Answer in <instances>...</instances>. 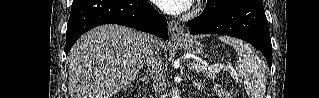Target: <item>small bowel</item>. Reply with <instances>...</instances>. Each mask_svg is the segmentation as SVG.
<instances>
[{"label":"small bowel","instance_id":"obj_1","mask_svg":"<svg viewBox=\"0 0 319 98\" xmlns=\"http://www.w3.org/2000/svg\"><path fill=\"white\" fill-rule=\"evenodd\" d=\"M224 98H228L227 96H223Z\"/></svg>","mask_w":319,"mask_h":98}]
</instances>
